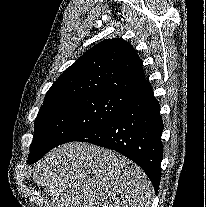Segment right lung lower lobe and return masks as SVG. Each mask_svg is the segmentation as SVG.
Masks as SVG:
<instances>
[{
    "instance_id": "98d812e1",
    "label": "right lung lower lobe",
    "mask_w": 206,
    "mask_h": 207,
    "mask_svg": "<svg viewBox=\"0 0 206 207\" xmlns=\"http://www.w3.org/2000/svg\"><path fill=\"white\" fill-rule=\"evenodd\" d=\"M126 97V105L116 116L76 141L89 142L123 154L144 170L157 192L163 157L161 134L164 126L160 105L148 80L129 90ZM44 154L29 158L27 163H35Z\"/></svg>"
}]
</instances>
